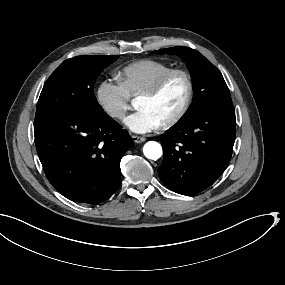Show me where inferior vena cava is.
Returning a JSON list of instances; mask_svg holds the SVG:
<instances>
[{
    "label": "inferior vena cava",
    "instance_id": "1",
    "mask_svg": "<svg viewBox=\"0 0 285 285\" xmlns=\"http://www.w3.org/2000/svg\"><path fill=\"white\" fill-rule=\"evenodd\" d=\"M127 106H112L107 110L111 117L124 118Z\"/></svg>",
    "mask_w": 285,
    "mask_h": 285
}]
</instances>
